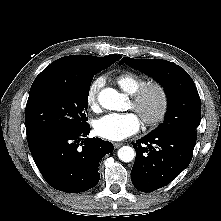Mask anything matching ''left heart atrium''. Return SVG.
<instances>
[{"label": "left heart atrium", "mask_w": 221, "mask_h": 221, "mask_svg": "<svg viewBox=\"0 0 221 221\" xmlns=\"http://www.w3.org/2000/svg\"><path fill=\"white\" fill-rule=\"evenodd\" d=\"M140 126V118L133 112L110 113L98 119L94 129L104 139L120 141L138 132Z\"/></svg>", "instance_id": "left-heart-atrium-1"}]
</instances>
